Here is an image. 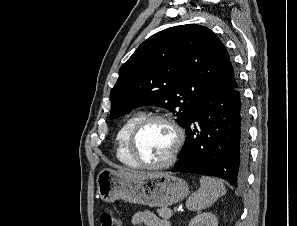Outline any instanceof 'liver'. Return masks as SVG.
I'll return each mask as SVG.
<instances>
[{
	"instance_id": "obj_1",
	"label": "liver",
	"mask_w": 297,
	"mask_h": 226,
	"mask_svg": "<svg viewBox=\"0 0 297 226\" xmlns=\"http://www.w3.org/2000/svg\"><path fill=\"white\" fill-rule=\"evenodd\" d=\"M118 173L127 178H144L153 174H145L139 172L118 171Z\"/></svg>"
}]
</instances>
